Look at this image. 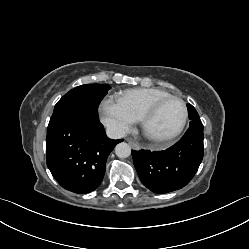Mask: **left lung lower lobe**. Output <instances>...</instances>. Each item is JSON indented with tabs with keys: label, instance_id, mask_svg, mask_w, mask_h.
<instances>
[{
	"label": "left lung lower lobe",
	"instance_id": "obj_1",
	"mask_svg": "<svg viewBox=\"0 0 249 249\" xmlns=\"http://www.w3.org/2000/svg\"><path fill=\"white\" fill-rule=\"evenodd\" d=\"M203 128H188L164 151L132 150L141 182L154 193H168L187 185L203 159Z\"/></svg>",
	"mask_w": 249,
	"mask_h": 249
}]
</instances>
